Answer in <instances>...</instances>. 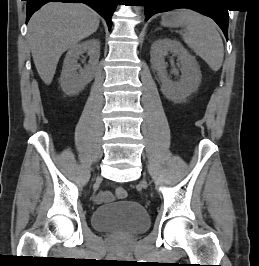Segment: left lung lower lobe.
I'll return each instance as SVG.
<instances>
[{
    "mask_svg": "<svg viewBox=\"0 0 259 266\" xmlns=\"http://www.w3.org/2000/svg\"><path fill=\"white\" fill-rule=\"evenodd\" d=\"M145 6V21L152 15L160 12H166L172 8H188V6H197L193 10L211 17L222 29L225 37L228 39V10L224 8H214L213 3L217 0H195L185 2V0H141ZM187 5V6H184Z\"/></svg>",
    "mask_w": 259,
    "mask_h": 266,
    "instance_id": "obj_1",
    "label": "left lung lower lobe"
}]
</instances>
